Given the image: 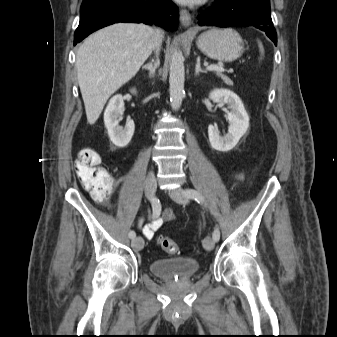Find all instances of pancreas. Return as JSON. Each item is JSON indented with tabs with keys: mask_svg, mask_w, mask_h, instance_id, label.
<instances>
[{
	"mask_svg": "<svg viewBox=\"0 0 337 337\" xmlns=\"http://www.w3.org/2000/svg\"><path fill=\"white\" fill-rule=\"evenodd\" d=\"M216 74L218 77H220L225 84L232 86L233 82L231 81V79H229L226 75H223L221 72L216 71Z\"/></svg>",
	"mask_w": 337,
	"mask_h": 337,
	"instance_id": "pancreas-1",
	"label": "pancreas"
}]
</instances>
